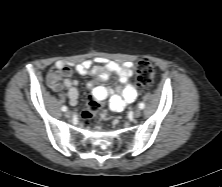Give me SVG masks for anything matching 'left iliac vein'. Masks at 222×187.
Listing matches in <instances>:
<instances>
[{"label":"left iliac vein","instance_id":"left-iliac-vein-1","mask_svg":"<svg viewBox=\"0 0 222 187\" xmlns=\"http://www.w3.org/2000/svg\"><path fill=\"white\" fill-rule=\"evenodd\" d=\"M141 114H142L141 109H136V110L134 111L133 117H134V118H139V117L141 116Z\"/></svg>","mask_w":222,"mask_h":187}]
</instances>
